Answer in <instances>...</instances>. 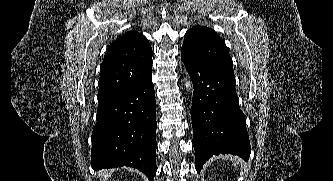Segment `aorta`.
I'll return each instance as SVG.
<instances>
[{
	"instance_id": "762f6f07",
	"label": "aorta",
	"mask_w": 333,
	"mask_h": 181,
	"mask_svg": "<svg viewBox=\"0 0 333 181\" xmlns=\"http://www.w3.org/2000/svg\"><path fill=\"white\" fill-rule=\"evenodd\" d=\"M185 86L188 90H191V83L186 81Z\"/></svg>"
}]
</instances>
